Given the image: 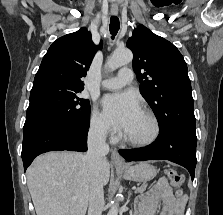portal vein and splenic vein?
Returning <instances> with one entry per match:
<instances>
[{
    "label": "portal vein and splenic vein",
    "mask_w": 223,
    "mask_h": 215,
    "mask_svg": "<svg viewBox=\"0 0 223 215\" xmlns=\"http://www.w3.org/2000/svg\"><path fill=\"white\" fill-rule=\"evenodd\" d=\"M137 187L135 185H133L131 187V191H134ZM72 199H77L76 195H73Z\"/></svg>",
    "instance_id": "1"
}]
</instances>
